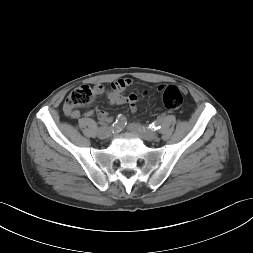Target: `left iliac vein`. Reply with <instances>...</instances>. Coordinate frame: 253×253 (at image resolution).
<instances>
[{"label": "left iliac vein", "instance_id": "4c4485c4", "mask_svg": "<svg viewBox=\"0 0 253 253\" xmlns=\"http://www.w3.org/2000/svg\"><path fill=\"white\" fill-rule=\"evenodd\" d=\"M127 129L137 135H139L141 138L147 141H155L158 139V134L156 132L150 131L143 127L140 124L137 123H131L127 126Z\"/></svg>", "mask_w": 253, "mask_h": 253}]
</instances>
